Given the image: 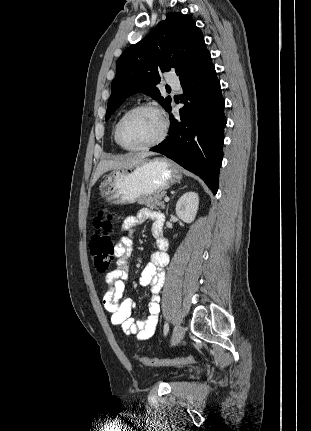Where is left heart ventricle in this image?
I'll return each mask as SVG.
<instances>
[{"label": "left heart ventricle", "mask_w": 311, "mask_h": 431, "mask_svg": "<svg viewBox=\"0 0 311 431\" xmlns=\"http://www.w3.org/2000/svg\"><path fill=\"white\" fill-rule=\"evenodd\" d=\"M162 131L160 116L151 110H143L129 117L122 126L124 141L129 146H142L155 140Z\"/></svg>", "instance_id": "left-heart-ventricle-1"}]
</instances>
